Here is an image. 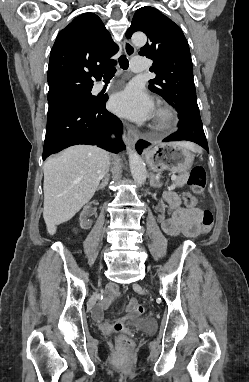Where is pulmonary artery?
Returning a JSON list of instances; mask_svg holds the SVG:
<instances>
[{"label": "pulmonary artery", "instance_id": "1", "mask_svg": "<svg viewBox=\"0 0 249 382\" xmlns=\"http://www.w3.org/2000/svg\"><path fill=\"white\" fill-rule=\"evenodd\" d=\"M131 69L133 71H144L147 69V61H146V58L144 57H135V58H132L131 59ZM106 86V84L104 83H99L98 84V88L99 89H102Z\"/></svg>", "mask_w": 249, "mask_h": 382}]
</instances>
